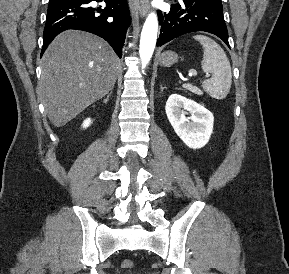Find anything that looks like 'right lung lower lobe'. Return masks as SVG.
Returning a JSON list of instances; mask_svg holds the SVG:
<instances>
[{
  "label": "right lung lower lobe",
  "mask_w": 289,
  "mask_h": 274,
  "mask_svg": "<svg viewBox=\"0 0 289 274\" xmlns=\"http://www.w3.org/2000/svg\"><path fill=\"white\" fill-rule=\"evenodd\" d=\"M93 1L105 7H93ZM129 23L127 0H50L41 55L56 35L79 29L104 38L121 58Z\"/></svg>",
  "instance_id": "obj_1"
}]
</instances>
